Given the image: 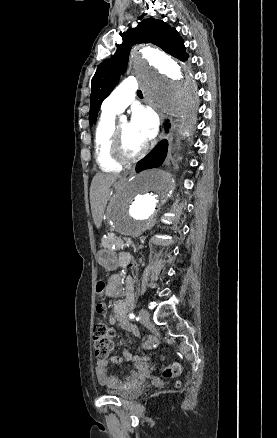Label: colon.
Listing matches in <instances>:
<instances>
[{"label":"colon","instance_id":"colon-1","mask_svg":"<svg viewBox=\"0 0 277 438\" xmlns=\"http://www.w3.org/2000/svg\"><path fill=\"white\" fill-rule=\"evenodd\" d=\"M106 284L103 279L99 278L96 283V291L100 296L105 293ZM98 313H104L107 310V304L104 300L99 301L96 305ZM93 346L97 356L102 361H107L110 352L114 347V331L104 323L96 324L93 328ZM118 358H113L117 362ZM182 372V365L180 362L162 368V373L165 378H173ZM173 389H188V380H173Z\"/></svg>","mask_w":277,"mask_h":438}]
</instances>
